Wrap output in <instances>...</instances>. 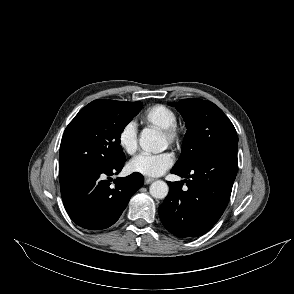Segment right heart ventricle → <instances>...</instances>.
<instances>
[{"mask_svg":"<svg viewBox=\"0 0 294 294\" xmlns=\"http://www.w3.org/2000/svg\"><path fill=\"white\" fill-rule=\"evenodd\" d=\"M177 120L176 112L163 104H156L149 107L140 117V121L145 127L158 130L176 125Z\"/></svg>","mask_w":294,"mask_h":294,"instance_id":"right-heart-ventricle-1","label":"right heart ventricle"}]
</instances>
